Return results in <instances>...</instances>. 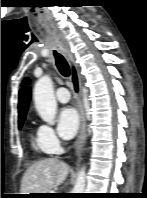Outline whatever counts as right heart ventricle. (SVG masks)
Masks as SVG:
<instances>
[{"label": "right heart ventricle", "instance_id": "1", "mask_svg": "<svg viewBox=\"0 0 147 198\" xmlns=\"http://www.w3.org/2000/svg\"><path fill=\"white\" fill-rule=\"evenodd\" d=\"M32 146L37 152L46 153L40 144L39 137H38V131L36 132L35 135H32Z\"/></svg>", "mask_w": 147, "mask_h": 198}]
</instances>
